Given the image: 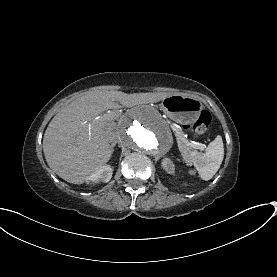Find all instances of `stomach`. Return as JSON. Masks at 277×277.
<instances>
[{"label": "stomach", "mask_w": 277, "mask_h": 277, "mask_svg": "<svg viewBox=\"0 0 277 277\" xmlns=\"http://www.w3.org/2000/svg\"><path fill=\"white\" fill-rule=\"evenodd\" d=\"M161 109L171 120L193 126L201 114L203 104L196 98L175 94L162 100Z\"/></svg>", "instance_id": "1"}]
</instances>
